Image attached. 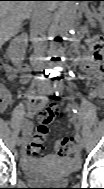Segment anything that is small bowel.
Here are the masks:
<instances>
[{"label":"small bowel","instance_id":"obj_1","mask_svg":"<svg viewBox=\"0 0 104 189\" xmlns=\"http://www.w3.org/2000/svg\"><path fill=\"white\" fill-rule=\"evenodd\" d=\"M79 67L83 73L91 75V77L88 79L90 91L94 95H102L103 88L98 82L99 76L95 73L98 68L97 64L92 59L85 58L80 62ZM5 72L6 77L9 81H15L16 79H19L21 83H27L32 78L30 69L26 65L17 68L7 66L5 67ZM0 100L2 109H7L12 106V94L5 86H0ZM21 128L24 135V145L21 151V159L24 164L30 165L32 163L30 157V141L32 129L29 125H22ZM72 161L75 162L74 160Z\"/></svg>","mask_w":104,"mask_h":189}]
</instances>
